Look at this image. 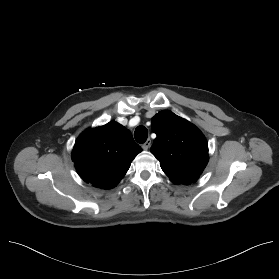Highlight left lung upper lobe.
<instances>
[{
    "label": "left lung upper lobe",
    "instance_id": "left-lung-upper-lobe-1",
    "mask_svg": "<svg viewBox=\"0 0 279 279\" xmlns=\"http://www.w3.org/2000/svg\"><path fill=\"white\" fill-rule=\"evenodd\" d=\"M157 137L150 151L173 183L198 180L208 162V147L201 131L173 112L161 111L152 118Z\"/></svg>",
    "mask_w": 279,
    "mask_h": 279
}]
</instances>
